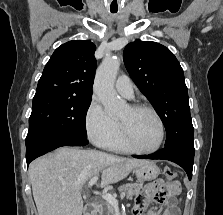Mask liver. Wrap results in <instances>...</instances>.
Segmentation results:
<instances>
[{
	"label": "liver",
	"mask_w": 223,
	"mask_h": 215,
	"mask_svg": "<svg viewBox=\"0 0 223 215\" xmlns=\"http://www.w3.org/2000/svg\"><path fill=\"white\" fill-rule=\"evenodd\" d=\"M147 159L119 157L96 149L59 147L32 161L29 173L39 215H82L81 187L102 171L101 187L116 183Z\"/></svg>",
	"instance_id": "obj_1"
}]
</instances>
